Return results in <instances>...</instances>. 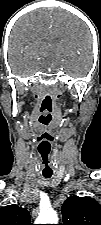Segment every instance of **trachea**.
I'll use <instances>...</instances> for the list:
<instances>
[{
  "instance_id": "3493384b",
  "label": "trachea",
  "mask_w": 101,
  "mask_h": 225,
  "mask_svg": "<svg viewBox=\"0 0 101 225\" xmlns=\"http://www.w3.org/2000/svg\"><path fill=\"white\" fill-rule=\"evenodd\" d=\"M51 176H45V178H50Z\"/></svg>"
}]
</instances>
